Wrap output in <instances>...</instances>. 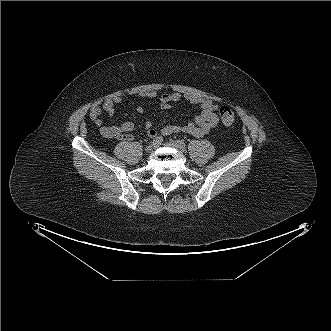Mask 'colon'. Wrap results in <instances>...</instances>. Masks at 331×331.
Returning <instances> with one entry per match:
<instances>
[{
  "mask_svg": "<svg viewBox=\"0 0 331 331\" xmlns=\"http://www.w3.org/2000/svg\"><path fill=\"white\" fill-rule=\"evenodd\" d=\"M220 118L225 126H231L235 122V113L227 106L220 108Z\"/></svg>",
  "mask_w": 331,
  "mask_h": 331,
  "instance_id": "5ec220e1",
  "label": "colon"
}]
</instances>
